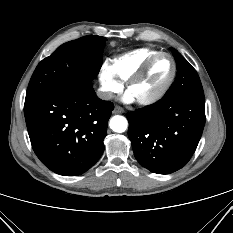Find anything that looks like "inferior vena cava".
I'll return each instance as SVG.
<instances>
[{"label": "inferior vena cava", "mask_w": 233, "mask_h": 233, "mask_svg": "<svg viewBox=\"0 0 233 233\" xmlns=\"http://www.w3.org/2000/svg\"><path fill=\"white\" fill-rule=\"evenodd\" d=\"M97 96L102 100H110L113 98V94L111 92H107L103 90H98Z\"/></svg>", "instance_id": "1"}]
</instances>
